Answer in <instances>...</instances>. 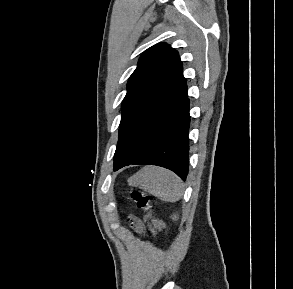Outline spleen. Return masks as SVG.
<instances>
[{
	"instance_id": "spleen-1",
	"label": "spleen",
	"mask_w": 293,
	"mask_h": 289,
	"mask_svg": "<svg viewBox=\"0 0 293 289\" xmlns=\"http://www.w3.org/2000/svg\"><path fill=\"white\" fill-rule=\"evenodd\" d=\"M130 186L149 192L167 202H176L183 195V185L178 176L164 168L148 166L128 179Z\"/></svg>"
}]
</instances>
